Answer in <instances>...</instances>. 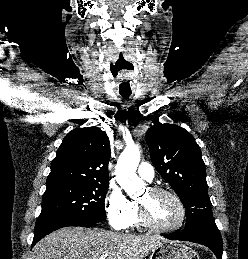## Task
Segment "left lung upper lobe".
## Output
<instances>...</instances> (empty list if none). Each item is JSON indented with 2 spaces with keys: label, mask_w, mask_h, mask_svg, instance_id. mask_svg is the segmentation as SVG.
I'll use <instances>...</instances> for the list:
<instances>
[{
  "label": "left lung upper lobe",
  "mask_w": 248,
  "mask_h": 259,
  "mask_svg": "<svg viewBox=\"0 0 248 259\" xmlns=\"http://www.w3.org/2000/svg\"><path fill=\"white\" fill-rule=\"evenodd\" d=\"M146 142L156 170L186 208L183 231L214 225L205 164L193 136L177 125L157 123L147 131Z\"/></svg>",
  "instance_id": "obj_1"
}]
</instances>
